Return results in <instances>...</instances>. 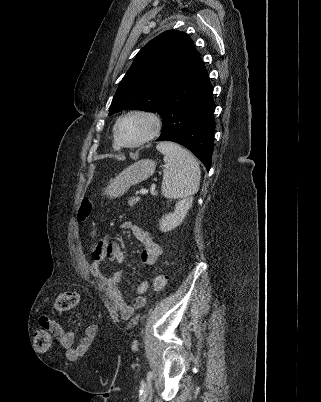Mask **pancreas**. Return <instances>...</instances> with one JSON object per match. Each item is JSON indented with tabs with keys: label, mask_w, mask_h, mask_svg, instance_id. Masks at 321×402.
I'll return each instance as SVG.
<instances>
[{
	"label": "pancreas",
	"mask_w": 321,
	"mask_h": 402,
	"mask_svg": "<svg viewBox=\"0 0 321 402\" xmlns=\"http://www.w3.org/2000/svg\"><path fill=\"white\" fill-rule=\"evenodd\" d=\"M138 201H139L138 198L131 197V198H129V200H128V204H129L130 206H134Z\"/></svg>",
	"instance_id": "pancreas-1"
}]
</instances>
